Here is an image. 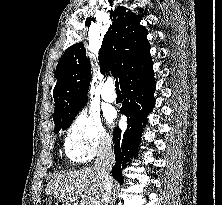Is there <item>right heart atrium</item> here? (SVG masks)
<instances>
[{"instance_id": "obj_1", "label": "right heart atrium", "mask_w": 222, "mask_h": 205, "mask_svg": "<svg viewBox=\"0 0 222 205\" xmlns=\"http://www.w3.org/2000/svg\"><path fill=\"white\" fill-rule=\"evenodd\" d=\"M110 136L99 117L89 111H81L69 126L64 147L69 159L86 162L106 150Z\"/></svg>"}]
</instances>
